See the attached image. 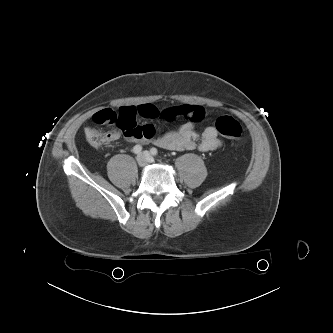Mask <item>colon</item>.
Returning <instances> with one entry per match:
<instances>
[{"label": "colon", "instance_id": "1", "mask_svg": "<svg viewBox=\"0 0 333 333\" xmlns=\"http://www.w3.org/2000/svg\"><path fill=\"white\" fill-rule=\"evenodd\" d=\"M93 121L97 125L112 126L121 131L131 132L137 127L136 112L132 107L122 108L119 111L104 109L93 116ZM216 130L224 137L232 140H239L244 135L241 124L230 116H220L215 122ZM109 132H104L96 127H87L85 137L88 143L99 148L110 143Z\"/></svg>", "mask_w": 333, "mask_h": 333}]
</instances>
